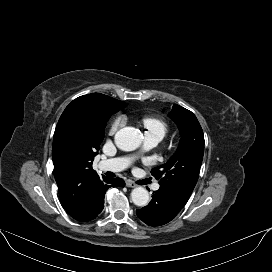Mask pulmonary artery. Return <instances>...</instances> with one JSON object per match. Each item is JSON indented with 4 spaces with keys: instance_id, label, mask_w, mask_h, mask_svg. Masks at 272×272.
I'll return each instance as SVG.
<instances>
[{
    "instance_id": "obj_1",
    "label": "pulmonary artery",
    "mask_w": 272,
    "mask_h": 272,
    "mask_svg": "<svg viewBox=\"0 0 272 272\" xmlns=\"http://www.w3.org/2000/svg\"><path fill=\"white\" fill-rule=\"evenodd\" d=\"M164 134L160 132H147L145 134V141H144V150L151 149L155 147L163 138ZM132 162V158L127 157H118V158H112L103 160L100 162V168L102 170L107 171H121L125 168H127ZM154 190L159 189V185H154Z\"/></svg>"
}]
</instances>
